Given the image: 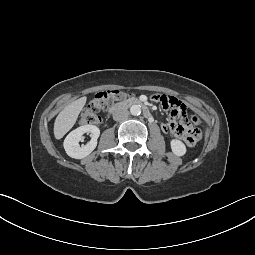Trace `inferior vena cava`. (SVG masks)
Instances as JSON below:
<instances>
[{
	"instance_id": "1",
	"label": "inferior vena cava",
	"mask_w": 255,
	"mask_h": 255,
	"mask_svg": "<svg viewBox=\"0 0 255 255\" xmlns=\"http://www.w3.org/2000/svg\"><path fill=\"white\" fill-rule=\"evenodd\" d=\"M129 111L125 108H117L113 112V119L115 121H122L128 118Z\"/></svg>"
}]
</instances>
